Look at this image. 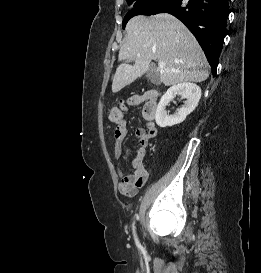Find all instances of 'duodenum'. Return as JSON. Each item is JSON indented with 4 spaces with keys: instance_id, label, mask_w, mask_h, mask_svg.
<instances>
[{
    "instance_id": "1",
    "label": "duodenum",
    "mask_w": 261,
    "mask_h": 273,
    "mask_svg": "<svg viewBox=\"0 0 261 273\" xmlns=\"http://www.w3.org/2000/svg\"><path fill=\"white\" fill-rule=\"evenodd\" d=\"M151 99L156 100L158 98V93L155 90L150 91Z\"/></svg>"
}]
</instances>
